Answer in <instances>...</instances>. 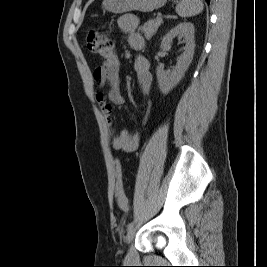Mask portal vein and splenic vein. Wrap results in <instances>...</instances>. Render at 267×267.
Returning <instances> with one entry per match:
<instances>
[{"mask_svg":"<svg viewBox=\"0 0 267 267\" xmlns=\"http://www.w3.org/2000/svg\"><path fill=\"white\" fill-rule=\"evenodd\" d=\"M162 17H163V16L160 14V15L157 16L156 19H157V20H162Z\"/></svg>","mask_w":267,"mask_h":267,"instance_id":"portal-vein-and-splenic-vein-1","label":"portal vein and splenic vein"}]
</instances>
